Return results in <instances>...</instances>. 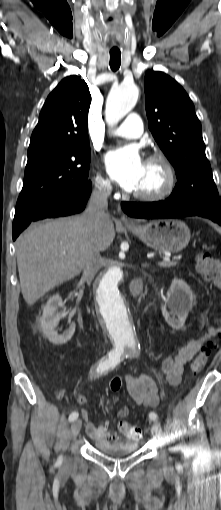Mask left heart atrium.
<instances>
[{
	"label": "left heart atrium",
	"mask_w": 221,
	"mask_h": 510,
	"mask_svg": "<svg viewBox=\"0 0 221 510\" xmlns=\"http://www.w3.org/2000/svg\"><path fill=\"white\" fill-rule=\"evenodd\" d=\"M105 162L111 176L126 191H135L140 183L144 162L134 146L107 153Z\"/></svg>",
	"instance_id": "obj_1"
}]
</instances>
